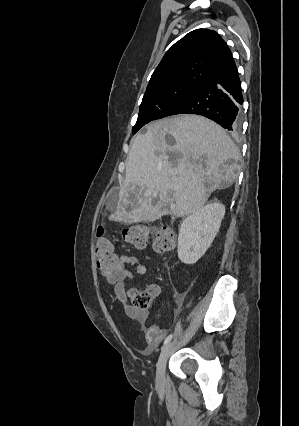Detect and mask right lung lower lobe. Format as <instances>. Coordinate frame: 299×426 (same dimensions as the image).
Masks as SVG:
<instances>
[{"instance_id": "98d812e1", "label": "right lung lower lobe", "mask_w": 299, "mask_h": 426, "mask_svg": "<svg viewBox=\"0 0 299 426\" xmlns=\"http://www.w3.org/2000/svg\"><path fill=\"white\" fill-rule=\"evenodd\" d=\"M242 103L241 83L236 66L233 65L220 76L202 84L174 103L160 118L176 114H197L235 132L240 125Z\"/></svg>"}]
</instances>
